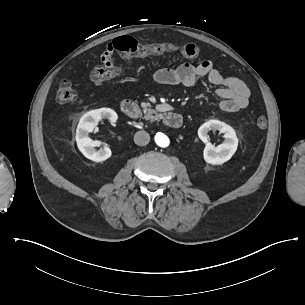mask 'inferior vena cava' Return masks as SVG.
<instances>
[{
    "label": "inferior vena cava",
    "instance_id": "602c4592",
    "mask_svg": "<svg viewBox=\"0 0 305 305\" xmlns=\"http://www.w3.org/2000/svg\"><path fill=\"white\" fill-rule=\"evenodd\" d=\"M134 142L139 146H145L150 142V135L146 131H138L134 135Z\"/></svg>",
    "mask_w": 305,
    "mask_h": 305
}]
</instances>
